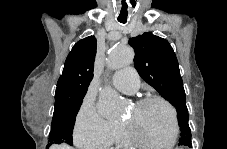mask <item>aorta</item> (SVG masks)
<instances>
[{"instance_id": "obj_1", "label": "aorta", "mask_w": 227, "mask_h": 149, "mask_svg": "<svg viewBox=\"0 0 227 149\" xmlns=\"http://www.w3.org/2000/svg\"><path fill=\"white\" fill-rule=\"evenodd\" d=\"M134 53L128 46L117 44L113 46L107 60V65L111 70H117L133 62ZM121 98L118 93L106 86L99 91L97 108L101 115L105 117H116L121 114Z\"/></svg>"}]
</instances>
